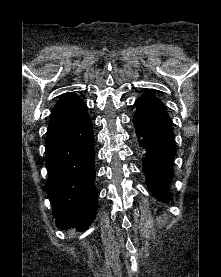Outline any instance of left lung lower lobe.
Here are the masks:
<instances>
[{
	"label": "left lung lower lobe",
	"instance_id": "0a47b994",
	"mask_svg": "<svg viewBox=\"0 0 221 277\" xmlns=\"http://www.w3.org/2000/svg\"><path fill=\"white\" fill-rule=\"evenodd\" d=\"M135 105L133 122L147 151L143 161L147 185L158 199L164 200L176 152L172 122L163 102L150 92L139 97Z\"/></svg>",
	"mask_w": 221,
	"mask_h": 277
}]
</instances>
